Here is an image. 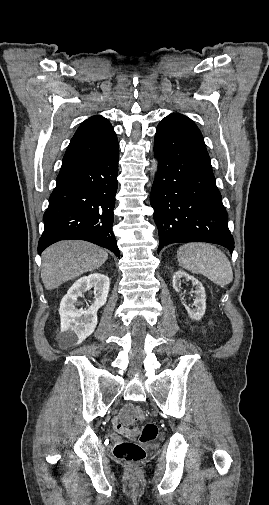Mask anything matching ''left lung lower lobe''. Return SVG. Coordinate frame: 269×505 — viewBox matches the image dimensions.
<instances>
[{"label": "left lung lower lobe", "mask_w": 269, "mask_h": 505, "mask_svg": "<svg viewBox=\"0 0 269 505\" xmlns=\"http://www.w3.org/2000/svg\"><path fill=\"white\" fill-rule=\"evenodd\" d=\"M159 157L150 196L159 249L171 243L209 242L234 249L227 212L216 186L204 139L188 117L172 113L159 123Z\"/></svg>", "instance_id": "0a47b994"}]
</instances>
